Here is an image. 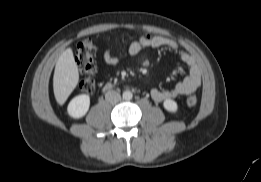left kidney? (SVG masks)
Instances as JSON below:
<instances>
[{
    "label": "left kidney",
    "mask_w": 261,
    "mask_h": 182,
    "mask_svg": "<svg viewBox=\"0 0 261 182\" xmlns=\"http://www.w3.org/2000/svg\"><path fill=\"white\" fill-rule=\"evenodd\" d=\"M163 106H164V108H165L168 112H171V113H175V112H177V110H178V105H177V103H176L174 100H171V99H166V100L163 102Z\"/></svg>",
    "instance_id": "5707ae66"
}]
</instances>
